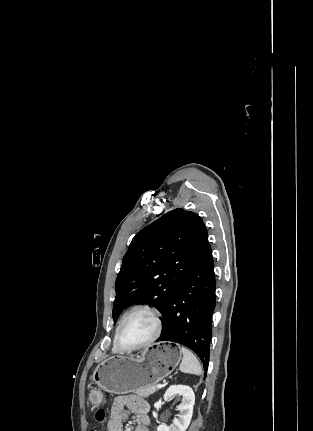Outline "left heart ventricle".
<instances>
[{
	"label": "left heart ventricle",
	"mask_w": 313,
	"mask_h": 431,
	"mask_svg": "<svg viewBox=\"0 0 313 431\" xmlns=\"http://www.w3.org/2000/svg\"><path fill=\"white\" fill-rule=\"evenodd\" d=\"M155 331V321L148 312L134 314L120 333V342L125 347H134L146 342Z\"/></svg>",
	"instance_id": "obj_1"
}]
</instances>
